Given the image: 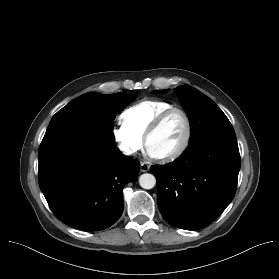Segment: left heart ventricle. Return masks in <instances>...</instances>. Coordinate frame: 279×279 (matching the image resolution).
Returning a JSON list of instances; mask_svg holds the SVG:
<instances>
[{
	"label": "left heart ventricle",
	"mask_w": 279,
	"mask_h": 279,
	"mask_svg": "<svg viewBox=\"0 0 279 279\" xmlns=\"http://www.w3.org/2000/svg\"><path fill=\"white\" fill-rule=\"evenodd\" d=\"M186 131L184 118L178 112L170 114L160 128L150 137L149 149L161 156L174 151L182 143Z\"/></svg>",
	"instance_id": "left-heart-ventricle-1"
}]
</instances>
